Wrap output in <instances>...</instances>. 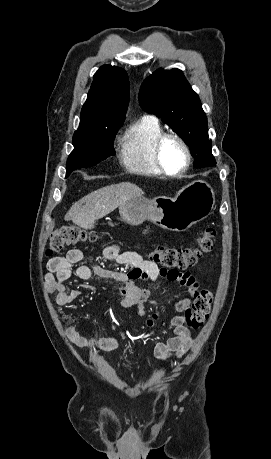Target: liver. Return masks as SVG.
<instances>
[{
    "instance_id": "liver-1",
    "label": "liver",
    "mask_w": 271,
    "mask_h": 459,
    "mask_svg": "<svg viewBox=\"0 0 271 459\" xmlns=\"http://www.w3.org/2000/svg\"><path fill=\"white\" fill-rule=\"evenodd\" d=\"M143 194L144 192L141 188H138L135 184H130V182L106 186V188L91 192V194L84 196L79 202L73 204L64 220L66 222L72 220L73 224H76L79 228L93 229L96 220L104 218L121 204H125L132 198H139Z\"/></svg>"
}]
</instances>
